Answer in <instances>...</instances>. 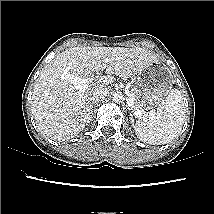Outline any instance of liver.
I'll list each match as a JSON object with an SVG mask.
<instances>
[{"label": "liver", "instance_id": "obj_1", "mask_svg": "<svg viewBox=\"0 0 214 214\" xmlns=\"http://www.w3.org/2000/svg\"><path fill=\"white\" fill-rule=\"evenodd\" d=\"M156 60V55L140 47L80 46L63 51L44 67L36 80L31 112L37 128L54 141L74 138L91 120L90 96L97 88L112 84L114 74L120 78L133 77ZM66 70L80 78L100 70H106L107 75L81 91L62 79Z\"/></svg>", "mask_w": 214, "mask_h": 214}]
</instances>
